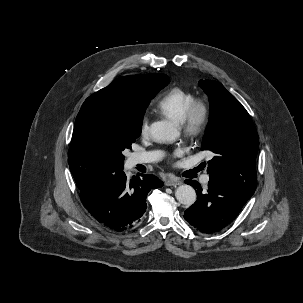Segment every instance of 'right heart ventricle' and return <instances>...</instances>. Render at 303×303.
<instances>
[{"mask_svg": "<svg viewBox=\"0 0 303 303\" xmlns=\"http://www.w3.org/2000/svg\"><path fill=\"white\" fill-rule=\"evenodd\" d=\"M194 99L193 93L180 87H172L159 98L157 110L161 114L180 122L189 104Z\"/></svg>", "mask_w": 303, "mask_h": 303, "instance_id": "1", "label": "right heart ventricle"}]
</instances>
